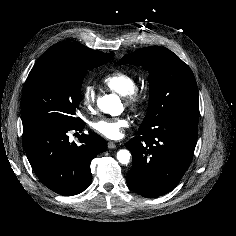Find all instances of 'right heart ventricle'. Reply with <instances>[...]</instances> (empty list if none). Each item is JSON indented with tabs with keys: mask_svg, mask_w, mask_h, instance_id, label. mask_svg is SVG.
Wrapping results in <instances>:
<instances>
[{
	"mask_svg": "<svg viewBox=\"0 0 236 236\" xmlns=\"http://www.w3.org/2000/svg\"><path fill=\"white\" fill-rule=\"evenodd\" d=\"M104 86L125 96L136 87L135 77L125 71L117 70L105 75L102 79Z\"/></svg>",
	"mask_w": 236,
	"mask_h": 236,
	"instance_id": "1",
	"label": "right heart ventricle"
}]
</instances>
